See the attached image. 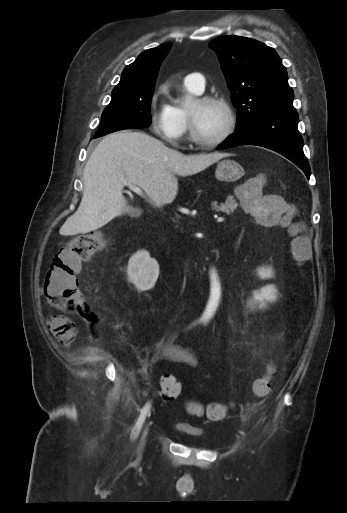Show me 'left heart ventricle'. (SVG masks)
<instances>
[{
  "instance_id": "left-heart-ventricle-1",
  "label": "left heart ventricle",
  "mask_w": 347,
  "mask_h": 513,
  "mask_svg": "<svg viewBox=\"0 0 347 513\" xmlns=\"http://www.w3.org/2000/svg\"><path fill=\"white\" fill-rule=\"evenodd\" d=\"M198 135L206 140L218 137L225 129V110L214 103L195 101L188 109Z\"/></svg>"
}]
</instances>
